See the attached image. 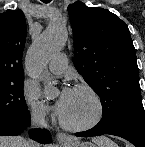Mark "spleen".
<instances>
[{"label": "spleen", "instance_id": "obj_1", "mask_svg": "<svg viewBox=\"0 0 145 147\" xmlns=\"http://www.w3.org/2000/svg\"><path fill=\"white\" fill-rule=\"evenodd\" d=\"M99 147H118L113 141L108 138H103L101 143L98 145Z\"/></svg>", "mask_w": 145, "mask_h": 147}]
</instances>
